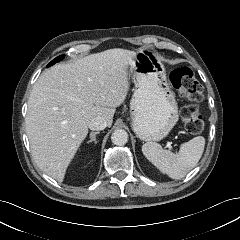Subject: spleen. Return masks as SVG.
Masks as SVG:
<instances>
[{
    "label": "spleen",
    "instance_id": "1",
    "mask_svg": "<svg viewBox=\"0 0 240 240\" xmlns=\"http://www.w3.org/2000/svg\"><path fill=\"white\" fill-rule=\"evenodd\" d=\"M205 147V138L197 136L181 144L177 154L164 150L156 142H147L142 146L144 156L162 173L172 179H181L199 162Z\"/></svg>",
    "mask_w": 240,
    "mask_h": 240
}]
</instances>
